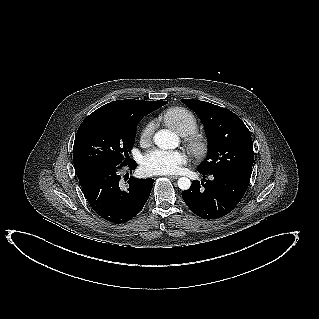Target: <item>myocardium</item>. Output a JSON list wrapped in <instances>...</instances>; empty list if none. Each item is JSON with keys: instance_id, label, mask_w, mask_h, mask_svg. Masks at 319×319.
Masks as SVG:
<instances>
[{"instance_id": "1", "label": "myocardium", "mask_w": 319, "mask_h": 319, "mask_svg": "<svg viewBox=\"0 0 319 319\" xmlns=\"http://www.w3.org/2000/svg\"><path fill=\"white\" fill-rule=\"evenodd\" d=\"M188 148L197 158H203L208 154L209 141L203 134L192 133L186 139Z\"/></svg>"}]
</instances>
